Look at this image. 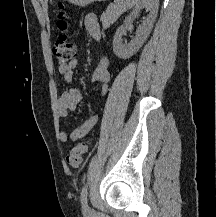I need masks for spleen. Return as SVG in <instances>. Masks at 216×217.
Masks as SVG:
<instances>
[{
  "label": "spleen",
  "instance_id": "obj_1",
  "mask_svg": "<svg viewBox=\"0 0 216 217\" xmlns=\"http://www.w3.org/2000/svg\"><path fill=\"white\" fill-rule=\"evenodd\" d=\"M139 0H126V6L131 8L138 3Z\"/></svg>",
  "mask_w": 216,
  "mask_h": 217
}]
</instances>
